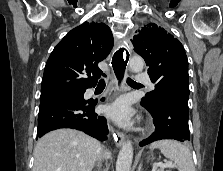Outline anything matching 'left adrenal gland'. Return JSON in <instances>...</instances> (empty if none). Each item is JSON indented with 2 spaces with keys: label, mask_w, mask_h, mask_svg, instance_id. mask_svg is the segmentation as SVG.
Instances as JSON below:
<instances>
[{
  "label": "left adrenal gland",
  "mask_w": 223,
  "mask_h": 171,
  "mask_svg": "<svg viewBox=\"0 0 223 171\" xmlns=\"http://www.w3.org/2000/svg\"><path fill=\"white\" fill-rule=\"evenodd\" d=\"M142 168V163L139 164L138 170L137 171H141Z\"/></svg>",
  "instance_id": "1"
}]
</instances>
